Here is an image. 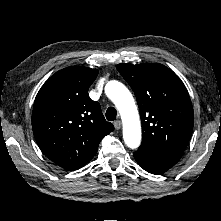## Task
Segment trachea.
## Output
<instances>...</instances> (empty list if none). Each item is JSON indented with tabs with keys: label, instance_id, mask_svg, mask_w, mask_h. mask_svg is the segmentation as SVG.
<instances>
[{
	"label": "trachea",
	"instance_id": "obj_1",
	"mask_svg": "<svg viewBox=\"0 0 221 221\" xmlns=\"http://www.w3.org/2000/svg\"><path fill=\"white\" fill-rule=\"evenodd\" d=\"M116 109L114 107H109L106 111V118L108 121H114L116 119Z\"/></svg>",
	"mask_w": 221,
	"mask_h": 221
}]
</instances>
